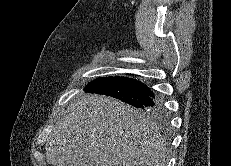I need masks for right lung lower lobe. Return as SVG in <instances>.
Segmentation results:
<instances>
[{
    "mask_svg": "<svg viewBox=\"0 0 231 166\" xmlns=\"http://www.w3.org/2000/svg\"><path fill=\"white\" fill-rule=\"evenodd\" d=\"M86 92L108 95L134 107L154 113H163L162 103L154 92L142 82L127 77H101L91 81L84 89ZM167 122V118H165Z\"/></svg>",
    "mask_w": 231,
    "mask_h": 166,
    "instance_id": "1",
    "label": "right lung lower lobe"
}]
</instances>
